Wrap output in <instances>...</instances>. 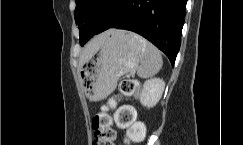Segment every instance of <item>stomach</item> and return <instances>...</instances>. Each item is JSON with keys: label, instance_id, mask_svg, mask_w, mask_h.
I'll use <instances>...</instances> for the list:
<instances>
[{"label": "stomach", "instance_id": "1", "mask_svg": "<svg viewBox=\"0 0 243 145\" xmlns=\"http://www.w3.org/2000/svg\"><path fill=\"white\" fill-rule=\"evenodd\" d=\"M140 39L128 31L111 30L81 71L82 87L90 100L106 98L115 90L119 78L139 64L145 55V46Z\"/></svg>", "mask_w": 243, "mask_h": 145}]
</instances>
